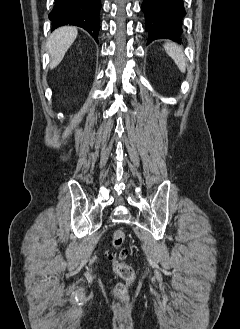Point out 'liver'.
I'll use <instances>...</instances> for the list:
<instances>
[{"label":"liver","mask_w":240,"mask_h":329,"mask_svg":"<svg viewBox=\"0 0 240 329\" xmlns=\"http://www.w3.org/2000/svg\"><path fill=\"white\" fill-rule=\"evenodd\" d=\"M78 34L76 27L65 26L56 29L48 38L47 50L51 57L50 68L53 69L62 61L65 53L73 44Z\"/></svg>","instance_id":"6515ba94"}]
</instances>
